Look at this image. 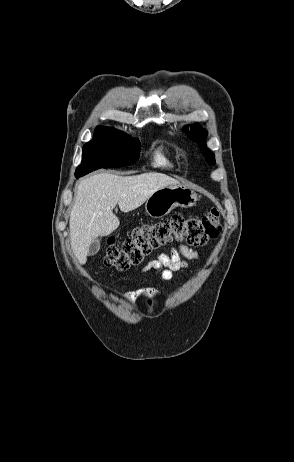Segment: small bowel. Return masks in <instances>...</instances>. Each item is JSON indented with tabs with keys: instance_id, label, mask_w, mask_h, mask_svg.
I'll return each mask as SVG.
<instances>
[{
	"instance_id": "1",
	"label": "small bowel",
	"mask_w": 294,
	"mask_h": 462,
	"mask_svg": "<svg viewBox=\"0 0 294 462\" xmlns=\"http://www.w3.org/2000/svg\"><path fill=\"white\" fill-rule=\"evenodd\" d=\"M186 260H195L199 258L197 251L188 248L185 245H180L178 249H172L169 254H159L155 259L149 261L141 269L142 273L150 270L158 271L162 279L166 282H171L174 277V273L183 270L187 267ZM153 289H142L136 291H127L125 296L128 298H136L143 293H155Z\"/></svg>"
}]
</instances>
